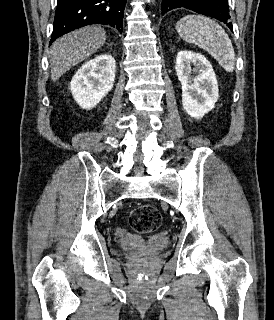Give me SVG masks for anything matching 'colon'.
Returning <instances> with one entry per match:
<instances>
[{
  "mask_svg": "<svg viewBox=\"0 0 274 320\" xmlns=\"http://www.w3.org/2000/svg\"><path fill=\"white\" fill-rule=\"evenodd\" d=\"M162 222V215L152 205L142 203L134 207L129 223L131 229L136 234H151Z\"/></svg>",
  "mask_w": 274,
  "mask_h": 320,
  "instance_id": "1",
  "label": "colon"
}]
</instances>
